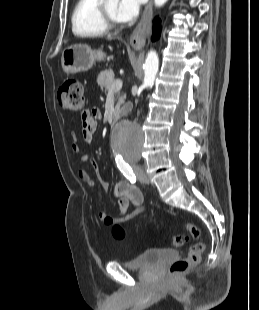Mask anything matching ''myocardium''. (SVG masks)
Here are the masks:
<instances>
[{
	"mask_svg": "<svg viewBox=\"0 0 259 310\" xmlns=\"http://www.w3.org/2000/svg\"><path fill=\"white\" fill-rule=\"evenodd\" d=\"M98 17L101 24L104 26L106 30L114 29L118 27V21L113 20L107 13L104 3L100 2L97 9Z\"/></svg>",
	"mask_w": 259,
	"mask_h": 310,
	"instance_id": "f54148a6",
	"label": "myocardium"
}]
</instances>
